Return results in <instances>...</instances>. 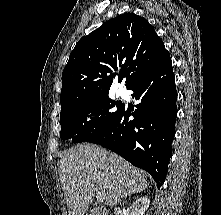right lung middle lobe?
<instances>
[{
  "label": "right lung middle lobe",
  "instance_id": "right-lung-middle-lobe-1",
  "mask_svg": "<svg viewBox=\"0 0 221 215\" xmlns=\"http://www.w3.org/2000/svg\"><path fill=\"white\" fill-rule=\"evenodd\" d=\"M122 109L123 104L111 100L108 93L62 106L60 138L75 143L88 141L109 129ZM90 112H96V118L87 121Z\"/></svg>",
  "mask_w": 221,
  "mask_h": 215
}]
</instances>
